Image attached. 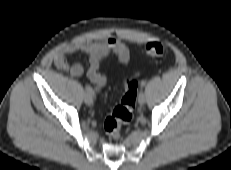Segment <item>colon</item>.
Instances as JSON below:
<instances>
[{"instance_id":"5ec220e1","label":"colon","mask_w":231,"mask_h":170,"mask_svg":"<svg viewBox=\"0 0 231 170\" xmlns=\"http://www.w3.org/2000/svg\"><path fill=\"white\" fill-rule=\"evenodd\" d=\"M145 53L153 58L165 55L166 47L160 42H148L145 45ZM138 83L135 79H125V93L121 103L116 106L104 121V130L112 139H118L121 135V127L131 121L133 110L137 100Z\"/></svg>"}]
</instances>
